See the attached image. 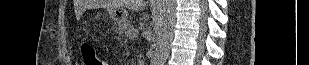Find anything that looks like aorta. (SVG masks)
Masks as SVG:
<instances>
[{
  "label": "aorta",
  "mask_w": 309,
  "mask_h": 65,
  "mask_svg": "<svg viewBox=\"0 0 309 65\" xmlns=\"http://www.w3.org/2000/svg\"><path fill=\"white\" fill-rule=\"evenodd\" d=\"M175 2L176 0H162L156 19L157 43L151 65H164L169 56L176 22Z\"/></svg>",
  "instance_id": "762f6f07"
}]
</instances>
